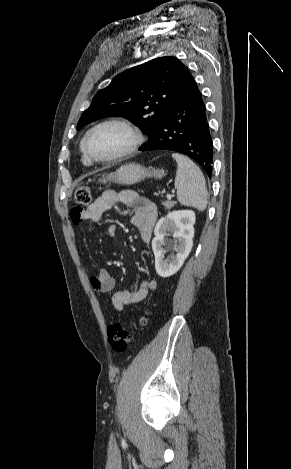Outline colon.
<instances>
[{
  "label": "colon",
  "instance_id": "obj_1",
  "mask_svg": "<svg viewBox=\"0 0 291 469\" xmlns=\"http://www.w3.org/2000/svg\"><path fill=\"white\" fill-rule=\"evenodd\" d=\"M74 199L78 207L72 210V214L76 215L81 210V206L91 203L92 195L89 187L78 186L75 190ZM139 321L141 324H145L146 318L141 317ZM107 337L111 348L118 353L124 352L130 343V333L127 327L120 321H116L108 326Z\"/></svg>",
  "mask_w": 291,
  "mask_h": 469
}]
</instances>
